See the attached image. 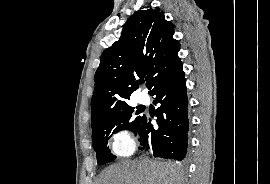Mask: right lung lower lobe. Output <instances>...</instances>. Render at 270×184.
<instances>
[{"instance_id":"obj_1","label":"right lung lower lobe","mask_w":270,"mask_h":184,"mask_svg":"<svg viewBox=\"0 0 270 184\" xmlns=\"http://www.w3.org/2000/svg\"><path fill=\"white\" fill-rule=\"evenodd\" d=\"M149 94L156 95L154 104H160L157 109L158 128L154 129L145 116L138 129L139 141L155 157L181 161L187 152L189 130L186 81L181 60L154 84Z\"/></svg>"}]
</instances>
